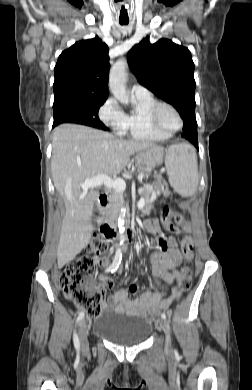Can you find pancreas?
Returning <instances> with one entry per match:
<instances>
[{
  "label": "pancreas",
  "mask_w": 252,
  "mask_h": 390,
  "mask_svg": "<svg viewBox=\"0 0 252 390\" xmlns=\"http://www.w3.org/2000/svg\"><path fill=\"white\" fill-rule=\"evenodd\" d=\"M121 200V195L114 191L111 195V206H116L119 204ZM152 201L151 202H145L144 206L141 208L142 214H144L145 217L151 216V209H152ZM113 209H110V212L112 213Z\"/></svg>",
  "instance_id": "cf45deb5"
}]
</instances>
